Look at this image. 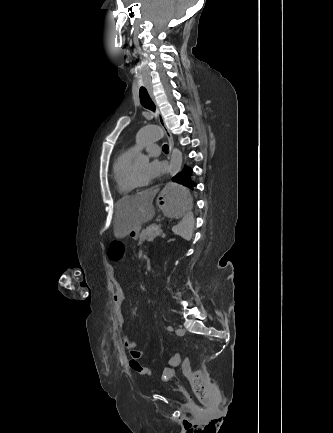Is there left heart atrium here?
<instances>
[{"instance_id":"left-heart-atrium-1","label":"left heart atrium","mask_w":333,"mask_h":433,"mask_svg":"<svg viewBox=\"0 0 333 433\" xmlns=\"http://www.w3.org/2000/svg\"><path fill=\"white\" fill-rule=\"evenodd\" d=\"M165 169L164 163L159 161L158 159H154L148 163L146 168V179L147 181H151L158 176H160Z\"/></svg>"}]
</instances>
